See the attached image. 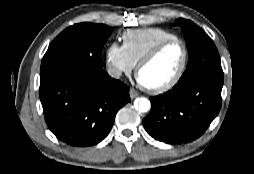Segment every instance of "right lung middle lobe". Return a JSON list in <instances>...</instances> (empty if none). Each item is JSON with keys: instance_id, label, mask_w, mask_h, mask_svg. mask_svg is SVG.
Listing matches in <instances>:
<instances>
[{"instance_id": "right-lung-middle-lobe-1", "label": "right lung middle lobe", "mask_w": 254, "mask_h": 174, "mask_svg": "<svg viewBox=\"0 0 254 174\" xmlns=\"http://www.w3.org/2000/svg\"><path fill=\"white\" fill-rule=\"evenodd\" d=\"M113 28L79 23L62 31L49 45L40 69V87L62 78L103 70L101 51Z\"/></svg>"}]
</instances>
